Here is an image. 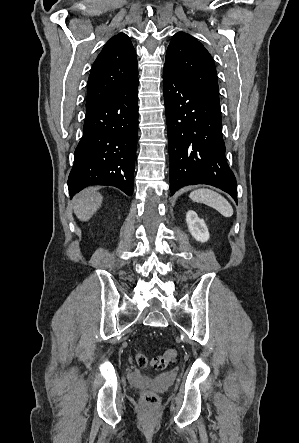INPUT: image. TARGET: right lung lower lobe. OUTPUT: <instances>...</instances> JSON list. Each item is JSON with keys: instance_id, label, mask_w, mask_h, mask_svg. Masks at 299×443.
Here are the masks:
<instances>
[{"instance_id": "98d812e1", "label": "right lung lower lobe", "mask_w": 299, "mask_h": 443, "mask_svg": "<svg viewBox=\"0 0 299 443\" xmlns=\"http://www.w3.org/2000/svg\"><path fill=\"white\" fill-rule=\"evenodd\" d=\"M137 132L138 78L86 109L68 178L70 197L89 185L115 186L132 195Z\"/></svg>"}]
</instances>
